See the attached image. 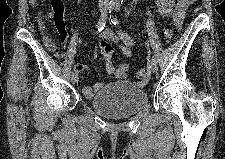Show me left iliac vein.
Here are the masks:
<instances>
[{
    "label": "left iliac vein",
    "instance_id": "obj_1",
    "mask_svg": "<svg viewBox=\"0 0 225 159\" xmlns=\"http://www.w3.org/2000/svg\"><path fill=\"white\" fill-rule=\"evenodd\" d=\"M149 67H150V70L153 73H156L157 72L158 67H157L156 61H151Z\"/></svg>",
    "mask_w": 225,
    "mask_h": 159
}]
</instances>
